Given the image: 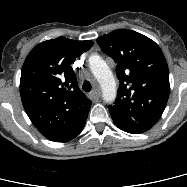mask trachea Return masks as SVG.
<instances>
[{
    "label": "trachea",
    "mask_w": 187,
    "mask_h": 187,
    "mask_svg": "<svg viewBox=\"0 0 187 187\" xmlns=\"http://www.w3.org/2000/svg\"><path fill=\"white\" fill-rule=\"evenodd\" d=\"M82 88H83L84 91L90 92L92 87H91V84L88 81H86V82L83 83Z\"/></svg>",
    "instance_id": "obj_1"
}]
</instances>
